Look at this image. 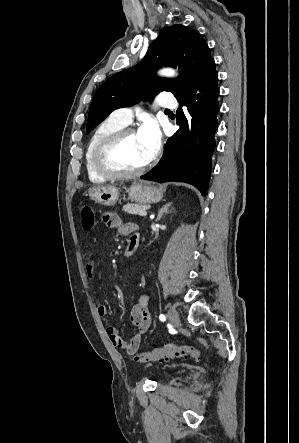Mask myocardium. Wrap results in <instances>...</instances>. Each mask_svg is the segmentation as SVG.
Here are the masks:
<instances>
[{
    "instance_id": "f54148a6",
    "label": "myocardium",
    "mask_w": 299,
    "mask_h": 443,
    "mask_svg": "<svg viewBox=\"0 0 299 443\" xmlns=\"http://www.w3.org/2000/svg\"><path fill=\"white\" fill-rule=\"evenodd\" d=\"M135 133V129L124 127L106 137L97 146L94 153V167L98 173L109 179H128L142 174L150 167L151 162L147 161L139 168L123 171L115 168L111 163L110 155L113 149L116 148L127 136Z\"/></svg>"
}]
</instances>
